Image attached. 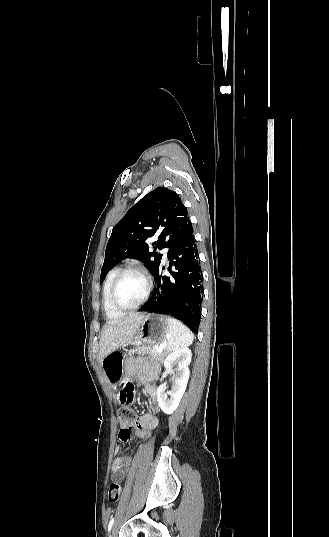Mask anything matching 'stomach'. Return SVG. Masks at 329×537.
Wrapping results in <instances>:
<instances>
[{
	"label": "stomach",
	"instance_id": "1",
	"mask_svg": "<svg viewBox=\"0 0 329 537\" xmlns=\"http://www.w3.org/2000/svg\"><path fill=\"white\" fill-rule=\"evenodd\" d=\"M168 317L156 313L143 315V319L133 335V344L159 345L169 336L170 327ZM123 355L118 351L108 354L102 361L101 366L112 384L120 382L122 374Z\"/></svg>",
	"mask_w": 329,
	"mask_h": 537
}]
</instances>
